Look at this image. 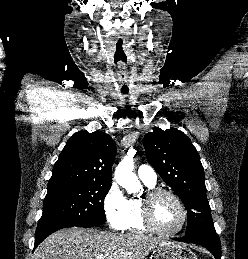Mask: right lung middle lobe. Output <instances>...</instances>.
<instances>
[{"instance_id":"obj_1","label":"right lung middle lobe","mask_w":248,"mask_h":259,"mask_svg":"<svg viewBox=\"0 0 248 259\" xmlns=\"http://www.w3.org/2000/svg\"><path fill=\"white\" fill-rule=\"evenodd\" d=\"M110 187L99 183L48 185L38 227L54 223L92 227L106 222L104 198Z\"/></svg>"}]
</instances>
